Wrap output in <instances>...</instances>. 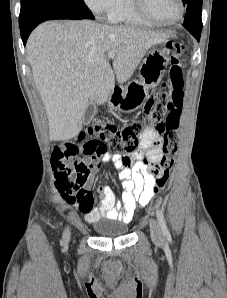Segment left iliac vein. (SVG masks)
<instances>
[{"instance_id":"4c4485c4","label":"left iliac vein","mask_w":227,"mask_h":298,"mask_svg":"<svg viewBox=\"0 0 227 298\" xmlns=\"http://www.w3.org/2000/svg\"><path fill=\"white\" fill-rule=\"evenodd\" d=\"M151 238L155 243L163 242V234L160 225L156 219H151L149 222Z\"/></svg>"}]
</instances>
